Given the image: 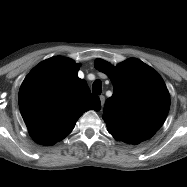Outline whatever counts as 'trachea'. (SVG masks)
<instances>
[{
  "label": "trachea",
  "instance_id": "trachea-1",
  "mask_svg": "<svg viewBox=\"0 0 187 187\" xmlns=\"http://www.w3.org/2000/svg\"><path fill=\"white\" fill-rule=\"evenodd\" d=\"M101 92H102V82L99 79H97L94 81L92 85V93L99 95L101 94Z\"/></svg>",
  "mask_w": 187,
  "mask_h": 187
}]
</instances>
